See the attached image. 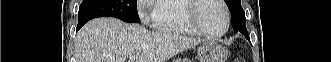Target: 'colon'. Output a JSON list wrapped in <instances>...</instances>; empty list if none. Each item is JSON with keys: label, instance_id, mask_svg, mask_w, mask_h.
<instances>
[{"label": "colon", "instance_id": "5ec220e1", "mask_svg": "<svg viewBox=\"0 0 331 62\" xmlns=\"http://www.w3.org/2000/svg\"><path fill=\"white\" fill-rule=\"evenodd\" d=\"M233 62H244L243 59H234Z\"/></svg>", "mask_w": 331, "mask_h": 62}]
</instances>
